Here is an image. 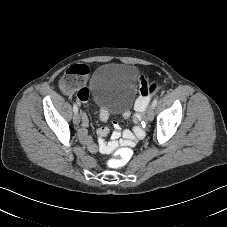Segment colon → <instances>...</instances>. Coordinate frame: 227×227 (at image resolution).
I'll use <instances>...</instances> for the list:
<instances>
[{"mask_svg":"<svg viewBox=\"0 0 227 227\" xmlns=\"http://www.w3.org/2000/svg\"><path fill=\"white\" fill-rule=\"evenodd\" d=\"M61 85H63L69 91H77V97H82L86 99L87 91L84 88H80V75L75 73H66L60 80ZM160 85L157 80H146L141 79L139 82V96L136 102L137 118L141 120L143 118V111L146 109L150 97L158 91ZM142 109L143 111H139ZM132 140H128V144H131ZM113 145L116 141L112 142ZM131 154L124 149L119 150L111 162L116 168H121L130 162Z\"/></svg>","mask_w":227,"mask_h":227,"instance_id":"5ec220e1","label":"colon"}]
</instances>
